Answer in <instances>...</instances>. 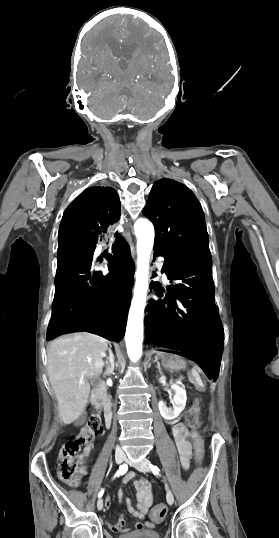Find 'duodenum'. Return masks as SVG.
<instances>
[{
	"label": "duodenum",
	"instance_id": "410a0bca",
	"mask_svg": "<svg viewBox=\"0 0 279 538\" xmlns=\"http://www.w3.org/2000/svg\"><path fill=\"white\" fill-rule=\"evenodd\" d=\"M105 387V382L103 381H98L96 383V385L93 387V390L91 391V399L93 401H91V409L93 412L95 413H98L101 411L102 409V406L100 403V399H103L105 402H104V406H103V409H104V414H103V417L105 418V423L103 424V427L105 429H108L110 427V424L109 423H112V418L111 417V414H113V409H112V402L109 399V396L107 395V391L104 389Z\"/></svg>",
	"mask_w": 279,
	"mask_h": 538
}]
</instances>
